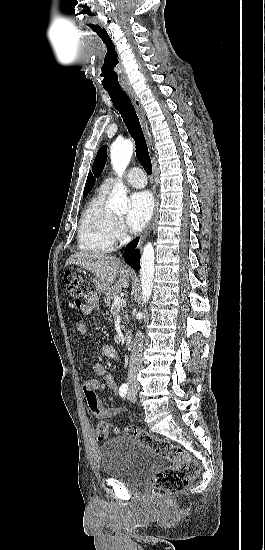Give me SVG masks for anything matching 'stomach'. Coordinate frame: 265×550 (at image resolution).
I'll return each instance as SVG.
<instances>
[{
    "label": "stomach",
    "mask_w": 265,
    "mask_h": 550,
    "mask_svg": "<svg viewBox=\"0 0 265 550\" xmlns=\"http://www.w3.org/2000/svg\"><path fill=\"white\" fill-rule=\"evenodd\" d=\"M99 291H100V292H106V291H107V288H106V289L99 288Z\"/></svg>",
    "instance_id": "0dacf381"
}]
</instances>
